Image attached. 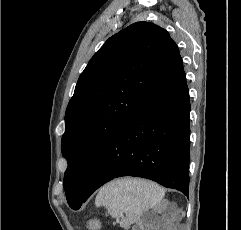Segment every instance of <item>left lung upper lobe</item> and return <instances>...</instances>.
Returning a JSON list of instances; mask_svg holds the SVG:
<instances>
[{
	"label": "left lung upper lobe",
	"mask_w": 241,
	"mask_h": 230,
	"mask_svg": "<svg viewBox=\"0 0 241 230\" xmlns=\"http://www.w3.org/2000/svg\"><path fill=\"white\" fill-rule=\"evenodd\" d=\"M181 64L168 31L148 22L113 35L90 59L65 116L61 148L68 161L64 188L69 205L82 198L112 135Z\"/></svg>",
	"instance_id": "5c2ea615"
}]
</instances>
